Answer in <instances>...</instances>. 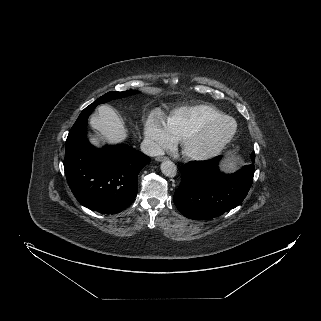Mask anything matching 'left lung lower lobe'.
I'll list each match as a JSON object with an SVG mask.
<instances>
[{"instance_id": "obj_1", "label": "left lung lower lobe", "mask_w": 321, "mask_h": 321, "mask_svg": "<svg viewBox=\"0 0 321 321\" xmlns=\"http://www.w3.org/2000/svg\"><path fill=\"white\" fill-rule=\"evenodd\" d=\"M220 159L190 161L183 166L174 203L187 218H215L240 205L246 197L253 182L255 153L251 154V164L233 174L219 170Z\"/></svg>"}]
</instances>
